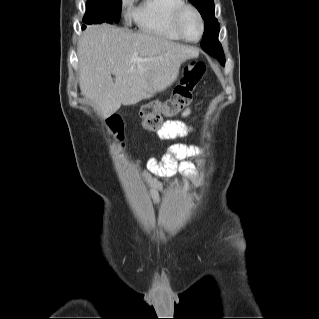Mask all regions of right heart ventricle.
<instances>
[{
	"instance_id": "right-heart-ventricle-1",
	"label": "right heart ventricle",
	"mask_w": 319,
	"mask_h": 319,
	"mask_svg": "<svg viewBox=\"0 0 319 319\" xmlns=\"http://www.w3.org/2000/svg\"><path fill=\"white\" fill-rule=\"evenodd\" d=\"M184 0H143L130 12L139 29L149 35L167 40H179L173 31L171 18Z\"/></svg>"
}]
</instances>
